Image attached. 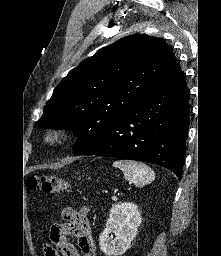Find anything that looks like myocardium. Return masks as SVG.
I'll return each instance as SVG.
<instances>
[{
  "instance_id": "obj_1",
  "label": "myocardium",
  "mask_w": 221,
  "mask_h": 256,
  "mask_svg": "<svg viewBox=\"0 0 221 256\" xmlns=\"http://www.w3.org/2000/svg\"><path fill=\"white\" fill-rule=\"evenodd\" d=\"M66 132L62 128H53L48 130L43 139L47 144H56L64 140Z\"/></svg>"
}]
</instances>
